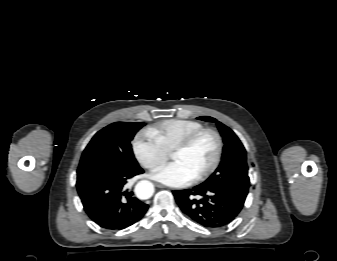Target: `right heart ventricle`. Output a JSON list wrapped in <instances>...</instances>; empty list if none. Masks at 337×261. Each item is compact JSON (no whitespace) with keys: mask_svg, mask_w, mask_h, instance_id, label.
<instances>
[{"mask_svg":"<svg viewBox=\"0 0 337 261\" xmlns=\"http://www.w3.org/2000/svg\"><path fill=\"white\" fill-rule=\"evenodd\" d=\"M203 127V124L194 120L169 119L154 125L149 132L170 153L185 137Z\"/></svg>","mask_w":337,"mask_h":261,"instance_id":"right-heart-ventricle-1","label":"right heart ventricle"}]
</instances>
